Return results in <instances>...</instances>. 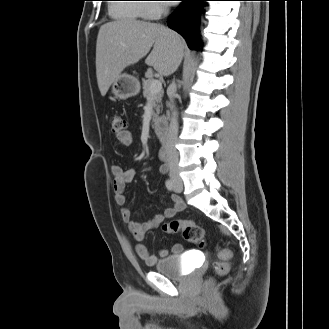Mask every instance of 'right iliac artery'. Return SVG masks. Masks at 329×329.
<instances>
[{"label":"right iliac artery","mask_w":329,"mask_h":329,"mask_svg":"<svg viewBox=\"0 0 329 329\" xmlns=\"http://www.w3.org/2000/svg\"><path fill=\"white\" fill-rule=\"evenodd\" d=\"M165 185H166V188H167L169 191H172L173 188H174V183H173V181L170 180V179L166 180Z\"/></svg>","instance_id":"obj_1"}]
</instances>
